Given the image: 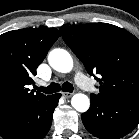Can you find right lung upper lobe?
Masks as SVG:
<instances>
[{
  "mask_svg": "<svg viewBox=\"0 0 139 139\" xmlns=\"http://www.w3.org/2000/svg\"><path fill=\"white\" fill-rule=\"evenodd\" d=\"M59 36L55 28H25L0 35V120L48 97L30 91L28 85Z\"/></svg>",
  "mask_w": 139,
  "mask_h": 139,
  "instance_id": "right-lung-upper-lobe-1",
  "label": "right lung upper lobe"
}]
</instances>
